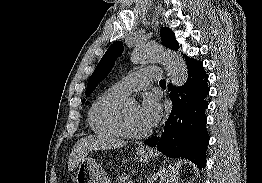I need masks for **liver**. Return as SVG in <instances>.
<instances>
[{"instance_id":"liver-1","label":"liver","mask_w":262,"mask_h":183,"mask_svg":"<svg viewBox=\"0 0 262 183\" xmlns=\"http://www.w3.org/2000/svg\"><path fill=\"white\" fill-rule=\"evenodd\" d=\"M127 144L126 141L110 136L93 135L79 139L74 145L68 160V170L73 171L92 150L120 148Z\"/></svg>"}]
</instances>
